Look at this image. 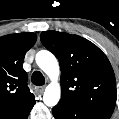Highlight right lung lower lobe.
<instances>
[{"label": "right lung lower lobe", "instance_id": "1", "mask_svg": "<svg viewBox=\"0 0 119 119\" xmlns=\"http://www.w3.org/2000/svg\"><path fill=\"white\" fill-rule=\"evenodd\" d=\"M36 100L33 98L26 104L19 107L3 110L0 112V119H27L31 109L33 108Z\"/></svg>", "mask_w": 119, "mask_h": 119}]
</instances>
